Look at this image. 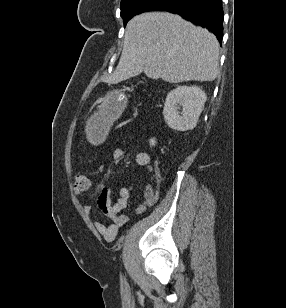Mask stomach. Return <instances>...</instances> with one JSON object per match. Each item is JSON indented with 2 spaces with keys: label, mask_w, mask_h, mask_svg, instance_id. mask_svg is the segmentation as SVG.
Instances as JSON below:
<instances>
[{
  "label": "stomach",
  "mask_w": 286,
  "mask_h": 308,
  "mask_svg": "<svg viewBox=\"0 0 286 308\" xmlns=\"http://www.w3.org/2000/svg\"><path fill=\"white\" fill-rule=\"evenodd\" d=\"M125 97L121 89H106L104 96L100 97L98 109L91 110L89 129H111L112 124H117L118 110H123ZM89 142H104V130H91L88 136Z\"/></svg>",
  "instance_id": "1"
}]
</instances>
